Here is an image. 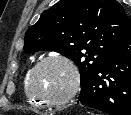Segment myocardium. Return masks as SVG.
<instances>
[{"label": "myocardium", "mask_w": 131, "mask_h": 115, "mask_svg": "<svg viewBox=\"0 0 131 115\" xmlns=\"http://www.w3.org/2000/svg\"><path fill=\"white\" fill-rule=\"evenodd\" d=\"M51 61H58L65 64L71 71V75H72V82H71L70 88L67 90V92L64 95L55 99L48 98L41 95L35 90V87H34V77H35L36 72L42 65ZM80 84H81V75H80V71L77 65L69 57L62 54H50L41 58L31 68L28 74V89L31 95L34 98H36L41 104L47 105L50 107H59L66 104L69 100H71L77 94L80 88Z\"/></svg>", "instance_id": "1"}]
</instances>
